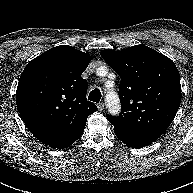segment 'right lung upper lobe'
<instances>
[{"instance_id": "cb5924a9", "label": "right lung upper lobe", "mask_w": 193, "mask_h": 193, "mask_svg": "<svg viewBox=\"0 0 193 193\" xmlns=\"http://www.w3.org/2000/svg\"><path fill=\"white\" fill-rule=\"evenodd\" d=\"M91 57L68 45L54 47L31 60L22 72L16 104L29 131L42 143L63 140L84 130L97 110L87 101L81 77Z\"/></svg>"}]
</instances>
